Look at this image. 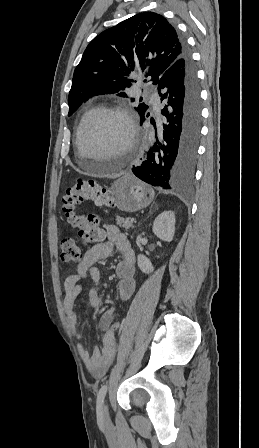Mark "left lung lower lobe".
Wrapping results in <instances>:
<instances>
[{
    "label": "left lung lower lobe",
    "mask_w": 259,
    "mask_h": 448,
    "mask_svg": "<svg viewBox=\"0 0 259 448\" xmlns=\"http://www.w3.org/2000/svg\"><path fill=\"white\" fill-rule=\"evenodd\" d=\"M182 56L159 78L165 117L159 139L147 151L146 160L132 172L142 181L165 190L182 191L193 182L200 137L201 104L196 69L181 38ZM148 114L141 118L145 121Z\"/></svg>",
    "instance_id": "obj_1"
}]
</instances>
